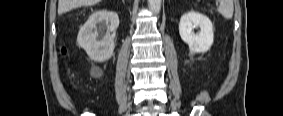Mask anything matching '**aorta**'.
Returning <instances> with one entry per match:
<instances>
[{"label":"aorta","instance_id":"obj_1","mask_svg":"<svg viewBox=\"0 0 283 116\" xmlns=\"http://www.w3.org/2000/svg\"><path fill=\"white\" fill-rule=\"evenodd\" d=\"M148 6L153 13L158 14L161 9V0H148Z\"/></svg>","mask_w":283,"mask_h":116}]
</instances>
